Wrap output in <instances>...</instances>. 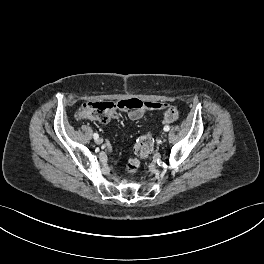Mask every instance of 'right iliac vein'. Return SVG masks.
I'll return each mask as SVG.
<instances>
[{
    "label": "right iliac vein",
    "instance_id": "right-iliac-vein-1",
    "mask_svg": "<svg viewBox=\"0 0 264 264\" xmlns=\"http://www.w3.org/2000/svg\"><path fill=\"white\" fill-rule=\"evenodd\" d=\"M95 142H96V144H102L103 143V139L102 138H97V139H95Z\"/></svg>",
    "mask_w": 264,
    "mask_h": 264
}]
</instances>
